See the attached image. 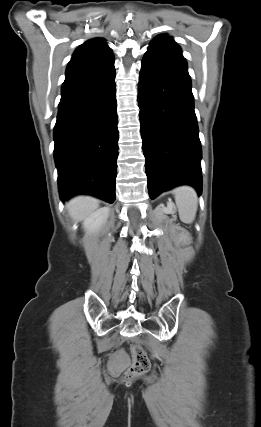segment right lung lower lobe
I'll list each match as a JSON object with an SVG mask.
<instances>
[{"mask_svg":"<svg viewBox=\"0 0 261 427\" xmlns=\"http://www.w3.org/2000/svg\"><path fill=\"white\" fill-rule=\"evenodd\" d=\"M115 68L62 88L54 128L61 199L115 200L118 157Z\"/></svg>","mask_w":261,"mask_h":427,"instance_id":"1","label":"right lung lower lobe"}]
</instances>
